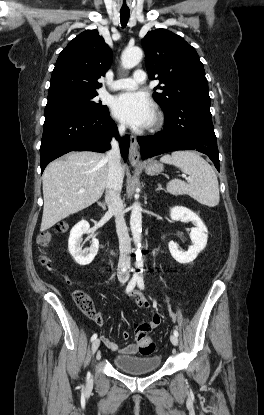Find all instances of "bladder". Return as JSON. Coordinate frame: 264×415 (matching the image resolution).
Wrapping results in <instances>:
<instances>
[{
	"label": "bladder",
	"instance_id": "bladder-1",
	"mask_svg": "<svg viewBox=\"0 0 264 415\" xmlns=\"http://www.w3.org/2000/svg\"><path fill=\"white\" fill-rule=\"evenodd\" d=\"M114 365L130 374H141L157 370L162 363L158 355L127 356L118 355L113 360Z\"/></svg>",
	"mask_w": 264,
	"mask_h": 415
}]
</instances>
